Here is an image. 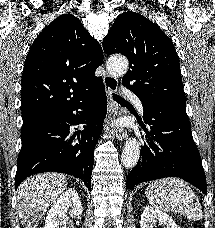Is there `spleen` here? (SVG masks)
<instances>
[{"instance_id":"obj_1","label":"spleen","mask_w":215,"mask_h":228,"mask_svg":"<svg viewBox=\"0 0 215 228\" xmlns=\"http://www.w3.org/2000/svg\"><path fill=\"white\" fill-rule=\"evenodd\" d=\"M145 194L149 204L157 210L178 212L192 222L202 220L201 204L184 180L179 178L155 180L150 182Z\"/></svg>"}]
</instances>
